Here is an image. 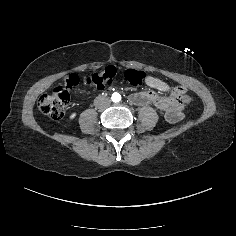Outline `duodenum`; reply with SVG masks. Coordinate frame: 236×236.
I'll use <instances>...</instances> for the list:
<instances>
[{"label":"duodenum","instance_id":"410a0bca","mask_svg":"<svg viewBox=\"0 0 236 236\" xmlns=\"http://www.w3.org/2000/svg\"><path fill=\"white\" fill-rule=\"evenodd\" d=\"M130 100L137 105L154 103L165 112L167 119L171 122L179 121L182 118V106L176 95L163 98L157 94L143 92L132 95Z\"/></svg>","mask_w":236,"mask_h":236}]
</instances>
